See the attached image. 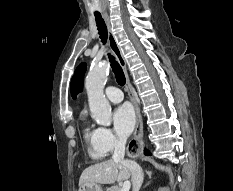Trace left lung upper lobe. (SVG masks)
Masks as SVG:
<instances>
[{"label":"left lung upper lobe","mask_w":233,"mask_h":191,"mask_svg":"<svg viewBox=\"0 0 233 191\" xmlns=\"http://www.w3.org/2000/svg\"><path fill=\"white\" fill-rule=\"evenodd\" d=\"M86 72V64L81 63L75 70L71 80V95L75 99L78 93L82 91L83 77Z\"/></svg>","instance_id":"1"}]
</instances>
